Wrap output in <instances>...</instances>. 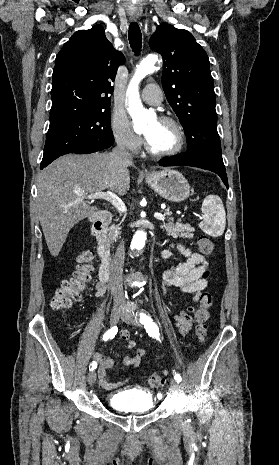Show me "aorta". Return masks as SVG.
I'll return each mask as SVG.
<instances>
[{"label":"aorta","mask_w":279,"mask_h":465,"mask_svg":"<svg viewBox=\"0 0 279 465\" xmlns=\"http://www.w3.org/2000/svg\"><path fill=\"white\" fill-rule=\"evenodd\" d=\"M156 61L157 57L154 55L148 56L141 61L128 86V111L134 121L136 131L141 130L150 117V113L144 109L139 97V83L155 70ZM145 241L146 233L143 230L137 231L131 242V250L133 252L140 251L144 247Z\"/></svg>","instance_id":"1"}]
</instances>
